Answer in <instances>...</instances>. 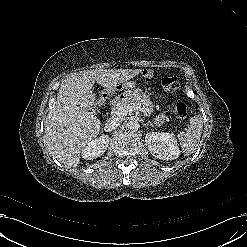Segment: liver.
<instances>
[{
	"label": "liver",
	"instance_id": "obj_1",
	"mask_svg": "<svg viewBox=\"0 0 247 247\" xmlns=\"http://www.w3.org/2000/svg\"><path fill=\"white\" fill-rule=\"evenodd\" d=\"M141 69H93L70 74L62 81L45 121V142L51 154L68 167H77L80 152L97 137L101 121L89 112L96 106L95 82L112 91L138 75Z\"/></svg>",
	"mask_w": 247,
	"mask_h": 247
}]
</instances>
